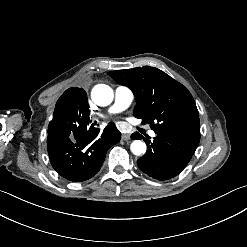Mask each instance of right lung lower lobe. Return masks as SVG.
<instances>
[{"label": "right lung lower lobe", "mask_w": 247, "mask_h": 247, "mask_svg": "<svg viewBox=\"0 0 247 247\" xmlns=\"http://www.w3.org/2000/svg\"><path fill=\"white\" fill-rule=\"evenodd\" d=\"M90 118L75 124L65 135H48L47 149L52 167L63 178L82 182L101 168L107 150L117 144L121 133L110 123L101 134Z\"/></svg>", "instance_id": "obj_1"}]
</instances>
